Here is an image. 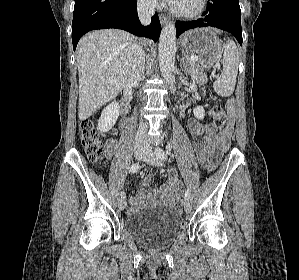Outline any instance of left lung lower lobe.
Segmentation results:
<instances>
[{
    "label": "left lung lower lobe",
    "instance_id": "obj_1",
    "mask_svg": "<svg viewBox=\"0 0 299 280\" xmlns=\"http://www.w3.org/2000/svg\"><path fill=\"white\" fill-rule=\"evenodd\" d=\"M212 26L230 32L242 45L241 10L239 0H208L201 18L191 22H176L177 37L186 30Z\"/></svg>",
    "mask_w": 299,
    "mask_h": 280
}]
</instances>
